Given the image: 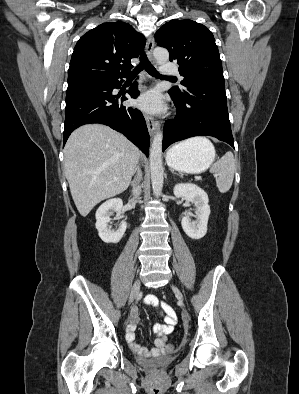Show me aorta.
<instances>
[{
  "label": "aorta",
  "instance_id": "1",
  "mask_svg": "<svg viewBox=\"0 0 299 394\" xmlns=\"http://www.w3.org/2000/svg\"><path fill=\"white\" fill-rule=\"evenodd\" d=\"M153 55L159 65L164 64L169 59V53L165 48H155ZM162 140L163 134L158 131L153 138L150 147V173L153 193L156 197H159L163 188L164 181V169L162 164Z\"/></svg>",
  "mask_w": 299,
  "mask_h": 394
}]
</instances>
